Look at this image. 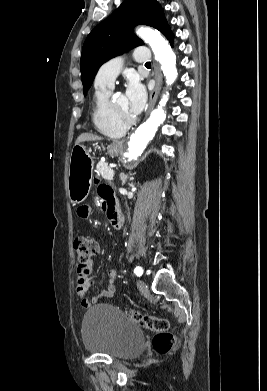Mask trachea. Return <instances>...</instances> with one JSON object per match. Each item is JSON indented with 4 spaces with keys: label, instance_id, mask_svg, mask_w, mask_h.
<instances>
[{
    "label": "trachea",
    "instance_id": "1",
    "mask_svg": "<svg viewBox=\"0 0 267 391\" xmlns=\"http://www.w3.org/2000/svg\"><path fill=\"white\" fill-rule=\"evenodd\" d=\"M150 65H151V62L145 63V66H150Z\"/></svg>",
    "mask_w": 267,
    "mask_h": 391
}]
</instances>
